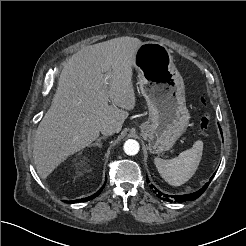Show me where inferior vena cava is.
<instances>
[{
	"label": "inferior vena cava",
	"instance_id": "obj_1",
	"mask_svg": "<svg viewBox=\"0 0 246 246\" xmlns=\"http://www.w3.org/2000/svg\"><path fill=\"white\" fill-rule=\"evenodd\" d=\"M116 132V129L113 125L104 124L101 128V133L105 136L112 135Z\"/></svg>",
	"mask_w": 246,
	"mask_h": 246
}]
</instances>
